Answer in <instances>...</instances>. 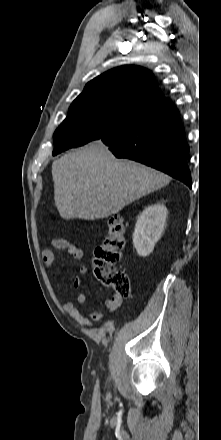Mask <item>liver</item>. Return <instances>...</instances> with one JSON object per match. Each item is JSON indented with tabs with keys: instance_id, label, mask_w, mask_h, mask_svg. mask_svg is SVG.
Here are the masks:
<instances>
[{
	"instance_id": "obj_1",
	"label": "liver",
	"mask_w": 221,
	"mask_h": 440,
	"mask_svg": "<svg viewBox=\"0 0 221 440\" xmlns=\"http://www.w3.org/2000/svg\"><path fill=\"white\" fill-rule=\"evenodd\" d=\"M52 177L55 205L65 220L107 218L170 182L155 169L116 159L101 141L54 161Z\"/></svg>"
}]
</instances>
